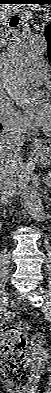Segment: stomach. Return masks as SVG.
<instances>
[{
	"instance_id": "0dacf381",
	"label": "stomach",
	"mask_w": 51,
	"mask_h": 393,
	"mask_svg": "<svg viewBox=\"0 0 51 393\" xmlns=\"http://www.w3.org/2000/svg\"><path fill=\"white\" fill-rule=\"evenodd\" d=\"M34 157L40 165H51V144L49 146L41 145L40 148L34 152Z\"/></svg>"
}]
</instances>
